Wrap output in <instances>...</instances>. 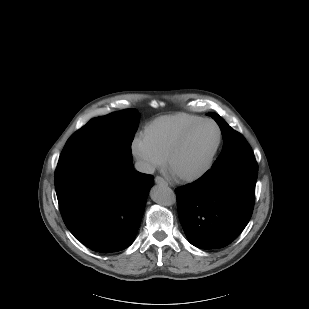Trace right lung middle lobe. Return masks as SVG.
I'll return each instance as SVG.
<instances>
[{
  "instance_id": "obj_1",
  "label": "right lung middle lobe",
  "mask_w": 309,
  "mask_h": 309,
  "mask_svg": "<svg viewBox=\"0 0 309 309\" xmlns=\"http://www.w3.org/2000/svg\"><path fill=\"white\" fill-rule=\"evenodd\" d=\"M140 114L127 109L90 120L67 142L59 158L56 177L74 162L95 151H116L131 155V143Z\"/></svg>"
}]
</instances>
